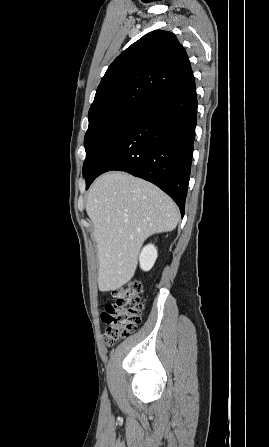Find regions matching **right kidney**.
Returning <instances> with one entry per match:
<instances>
[{
  "instance_id": "ca27d5eb",
  "label": "right kidney",
  "mask_w": 269,
  "mask_h": 447,
  "mask_svg": "<svg viewBox=\"0 0 269 447\" xmlns=\"http://www.w3.org/2000/svg\"><path fill=\"white\" fill-rule=\"evenodd\" d=\"M158 257L157 249L153 243H148V245H144L140 255V267L144 269V271H149L151 267H153L156 259Z\"/></svg>"
}]
</instances>
